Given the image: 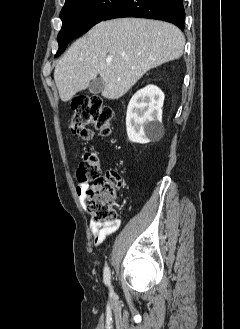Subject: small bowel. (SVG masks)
<instances>
[{"mask_svg": "<svg viewBox=\"0 0 240 329\" xmlns=\"http://www.w3.org/2000/svg\"><path fill=\"white\" fill-rule=\"evenodd\" d=\"M87 189L88 184H78L76 186L75 190L80 202L84 203V196ZM119 225L117 220L111 222L91 221L90 231L96 246L101 245L108 235L114 233L119 228Z\"/></svg>", "mask_w": 240, "mask_h": 329, "instance_id": "1", "label": "small bowel"}]
</instances>
